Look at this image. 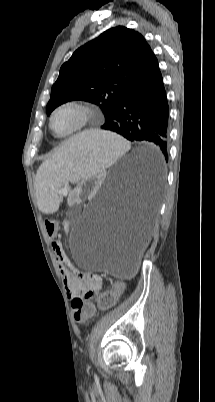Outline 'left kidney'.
Segmentation results:
<instances>
[{
  "mask_svg": "<svg viewBox=\"0 0 215 402\" xmlns=\"http://www.w3.org/2000/svg\"><path fill=\"white\" fill-rule=\"evenodd\" d=\"M106 172L104 169H97L94 175H86L83 184H75L73 191L70 192V202L73 205L78 204L79 200H90L91 193H96L97 187Z\"/></svg>",
  "mask_w": 215,
  "mask_h": 402,
  "instance_id": "obj_1",
  "label": "left kidney"
}]
</instances>
